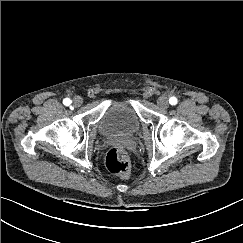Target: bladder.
<instances>
[{
	"label": "bladder",
	"mask_w": 243,
	"mask_h": 243,
	"mask_svg": "<svg viewBox=\"0 0 243 243\" xmlns=\"http://www.w3.org/2000/svg\"><path fill=\"white\" fill-rule=\"evenodd\" d=\"M105 136L132 137L141 127V121L133 106L125 101L110 103L98 123Z\"/></svg>",
	"instance_id": "obj_1"
}]
</instances>
